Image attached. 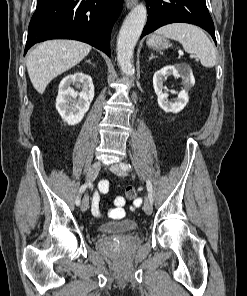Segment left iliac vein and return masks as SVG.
Listing matches in <instances>:
<instances>
[{
	"mask_svg": "<svg viewBox=\"0 0 247 296\" xmlns=\"http://www.w3.org/2000/svg\"><path fill=\"white\" fill-rule=\"evenodd\" d=\"M110 170L112 172H114L116 175H119V176H122V177L127 176V173L125 172V170H123L119 165H112L110 167ZM143 210L147 215L152 214L153 206H152V203L150 202V200L148 198H146L145 201H144Z\"/></svg>",
	"mask_w": 247,
	"mask_h": 296,
	"instance_id": "obj_1",
	"label": "left iliac vein"
}]
</instances>
